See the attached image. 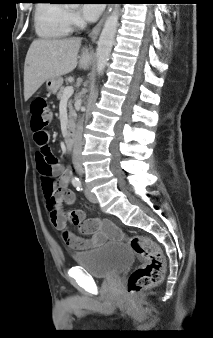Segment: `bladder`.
<instances>
[{"label": "bladder", "mask_w": 213, "mask_h": 338, "mask_svg": "<svg viewBox=\"0 0 213 338\" xmlns=\"http://www.w3.org/2000/svg\"><path fill=\"white\" fill-rule=\"evenodd\" d=\"M78 267L94 278H111L124 271L135 259L126 242H109L87 253L74 255Z\"/></svg>", "instance_id": "31cf9c89"}]
</instances>
